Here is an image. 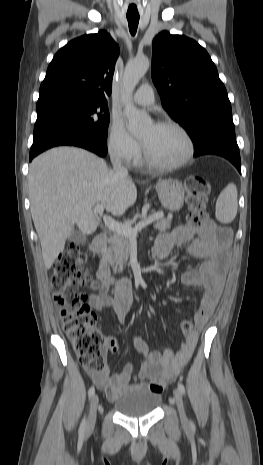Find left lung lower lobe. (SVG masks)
Returning <instances> with one entry per match:
<instances>
[{"instance_id":"left-lung-lower-lobe-1","label":"left lung lower lobe","mask_w":263,"mask_h":465,"mask_svg":"<svg viewBox=\"0 0 263 465\" xmlns=\"http://www.w3.org/2000/svg\"><path fill=\"white\" fill-rule=\"evenodd\" d=\"M205 154H216L225 157L241 173L240 153L234 129L213 130L201 143L195 145L194 157Z\"/></svg>"}]
</instances>
